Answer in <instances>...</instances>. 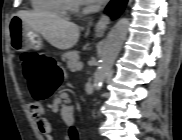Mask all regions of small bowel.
<instances>
[{
  "instance_id": "small-bowel-1",
  "label": "small bowel",
  "mask_w": 182,
  "mask_h": 140,
  "mask_svg": "<svg viewBox=\"0 0 182 140\" xmlns=\"http://www.w3.org/2000/svg\"><path fill=\"white\" fill-rule=\"evenodd\" d=\"M29 111L34 118L38 131L46 138V140H53L52 126L48 118L45 116L44 106L39 102H31L29 104Z\"/></svg>"
}]
</instances>
